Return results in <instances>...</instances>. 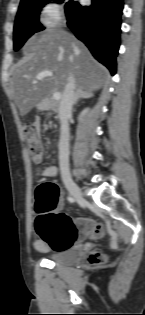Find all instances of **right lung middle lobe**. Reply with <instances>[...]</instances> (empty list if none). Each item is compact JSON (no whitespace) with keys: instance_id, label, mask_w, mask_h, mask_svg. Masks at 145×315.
Wrapping results in <instances>:
<instances>
[{"instance_id":"dd1d6c3e","label":"right lung middle lobe","mask_w":145,"mask_h":315,"mask_svg":"<svg viewBox=\"0 0 145 315\" xmlns=\"http://www.w3.org/2000/svg\"><path fill=\"white\" fill-rule=\"evenodd\" d=\"M50 0H31L21 3L17 12L14 25V50H19L29 37L44 29L39 21L41 8ZM61 3L63 0H55ZM71 1L65 5V10Z\"/></svg>"}]
</instances>
